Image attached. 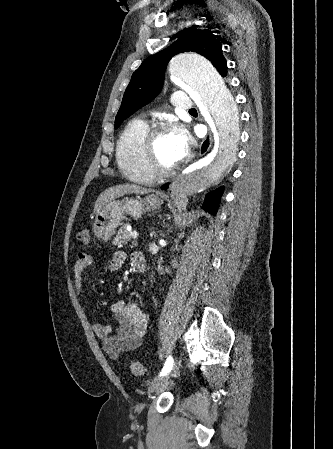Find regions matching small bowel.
Masks as SVG:
<instances>
[{
	"mask_svg": "<svg viewBox=\"0 0 333 449\" xmlns=\"http://www.w3.org/2000/svg\"><path fill=\"white\" fill-rule=\"evenodd\" d=\"M126 255L116 252L109 262L111 271H117L124 265ZM94 266L93 258L85 253H79L78 259L73 267L72 276L76 289L80 295L83 294V275L88 268ZM111 309L120 326L114 334L108 324L95 323L93 331L102 340L104 351L112 358L117 359L123 353L132 351L139 347L147 332L148 314L137 304L118 300L112 303Z\"/></svg>",
	"mask_w": 333,
	"mask_h": 449,
	"instance_id": "obj_1",
	"label": "small bowel"
}]
</instances>
